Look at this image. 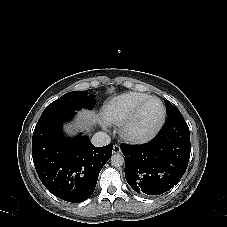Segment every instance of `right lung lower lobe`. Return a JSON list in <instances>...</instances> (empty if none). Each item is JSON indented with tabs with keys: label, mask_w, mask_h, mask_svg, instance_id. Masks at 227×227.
<instances>
[{
	"label": "right lung lower lobe",
	"mask_w": 227,
	"mask_h": 227,
	"mask_svg": "<svg viewBox=\"0 0 227 227\" xmlns=\"http://www.w3.org/2000/svg\"><path fill=\"white\" fill-rule=\"evenodd\" d=\"M74 113L41 115L32 137V157L43 185L67 202L87 200L102 167L112 156L113 143L95 147L81 134L65 138L62 124Z\"/></svg>",
	"instance_id": "obj_1"
}]
</instances>
